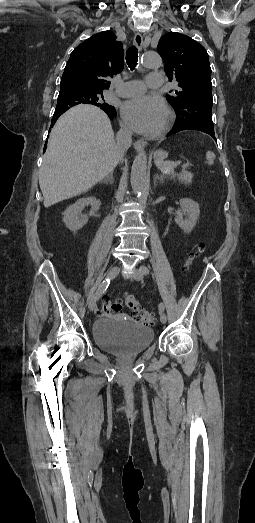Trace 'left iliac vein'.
I'll list each match as a JSON object with an SVG mask.
<instances>
[{
	"label": "left iliac vein",
	"instance_id": "4c4485c4",
	"mask_svg": "<svg viewBox=\"0 0 255 523\" xmlns=\"http://www.w3.org/2000/svg\"><path fill=\"white\" fill-rule=\"evenodd\" d=\"M133 277H134L135 280H137V281H141L142 278H143V273L141 272L140 269H134V271H133ZM160 321H161L163 324L166 323V321H167V316H166V314L163 313V312H161V314H160Z\"/></svg>",
	"mask_w": 255,
	"mask_h": 523
}]
</instances>
